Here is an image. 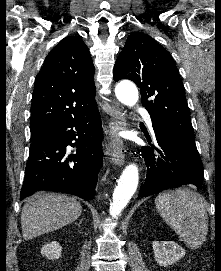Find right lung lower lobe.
<instances>
[{"label":"right lung lower lobe","instance_id":"1","mask_svg":"<svg viewBox=\"0 0 221 271\" xmlns=\"http://www.w3.org/2000/svg\"><path fill=\"white\" fill-rule=\"evenodd\" d=\"M68 145L77 147L76 154L68 155ZM102 157L101 117L96 106L32 140L20 197L46 190L91 200Z\"/></svg>","mask_w":221,"mask_h":271}]
</instances>
